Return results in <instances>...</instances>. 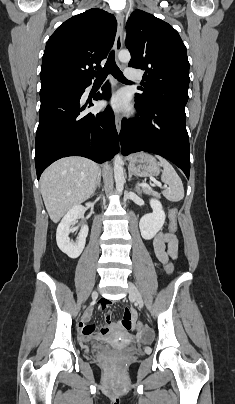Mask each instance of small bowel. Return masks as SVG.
<instances>
[{
    "label": "small bowel",
    "instance_id": "obj_1",
    "mask_svg": "<svg viewBox=\"0 0 235 404\" xmlns=\"http://www.w3.org/2000/svg\"><path fill=\"white\" fill-rule=\"evenodd\" d=\"M178 242L174 236L168 233H158L153 240V252L156 258L162 263L166 264L169 260L177 257ZM108 305L107 301H101L98 308L105 309ZM92 310H88L82 317L79 323V330L84 342L95 341H109L116 337L120 331L118 323L111 322L112 313L107 311L105 313L106 323L101 325L98 332H95V325L89 324L87 321L90 319Z\"/></svg>",
    "mask_w": 235,
    "mask_h": 404
}]
</instances>
